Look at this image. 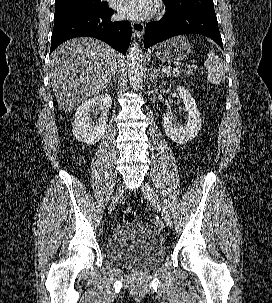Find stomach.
Returning a JSON list of instances; mask_svg holds the SVG:
<instances>
[{"label":"stomach","mask_w":272,"mask_h":303,"mask_svg":"<svg viewBox=\"0 0 272 303\" xmlns=\"http://www.w3.org/2000/svg\"><path fill=\"white\" fill-rule=\"evenodd\" d=\"M191 52L190 43L183 36H177L161 43L155 52V57L162 62H177L183 60Z\"/></svg>","instance_id":"1"}]
</instances>
